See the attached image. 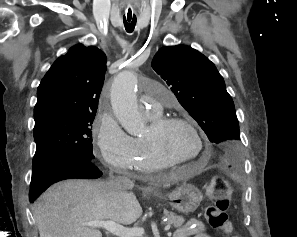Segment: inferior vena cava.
<instances>
[{"label": "inferior vena cava", "mask_w": 297, "mask_h": 237, "mask_svg": "<svg viewBox=\"0 0 297 237\" xmlns=\"http://www.w3.org/2000/svg\"><path fill=\"white\" fill-rule=\"evenodd\" d=\"M110 183L117 191L121 193H126V190L128 188L133 187V182L126 176H118V177L112 178Z\"/></svg>", "instance_id": "obj_1"}]
</instances>
